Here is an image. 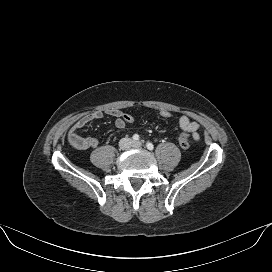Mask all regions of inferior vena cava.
I'll use <instances>...</instances> for the list:
<instances>
[{"instance_id":"1","label":"inferior vena cava","mask_w":272,"mask_h":272,"mask_svg":"<svg viewBox=\"0 0 272 272\" xmlns=\"http://www.w3.org/2000/svg\"><path fill=\"white\" fill-rule=\"evenodd\" d=\"M130 144H131V139L129 138H122L119 142V146L122 148V149H126V148H129L130 147Z\"/></svg>"}]
</instances>
